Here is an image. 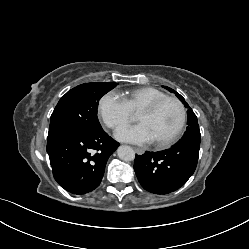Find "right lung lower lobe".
Returning a JSON list of instances; mask_svg holds the SVG:
<instances>
[{"mask_svg":"<svg viewBox=\"0 0 249 249\" xmlns=\"http://www.w3.org/2000/svg\"><path fill=\"white\" fill-rule=\"evenodd\" d=\"M119 143L102 130L61 137L47 143L55 180L72 194H85L100 184L110 155Z\"/></svg>","mask_w":249,"mask_h":249,"instance_id":"1","label":"right lung lower lobe"}]
</instances>
